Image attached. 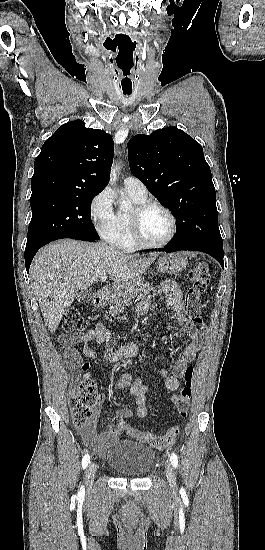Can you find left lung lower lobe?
I'll use <instances>...</instances> for the list:
<instances>
[{
	"instance_id": "1",
	"label": "left lung lower lobe",
	"mask_w": 265,
	"mask_h": 550,
	"mask_svg": "<svg viewBox=\"0 0 265 550\" xmlns=\"http://www.w3.org/2000/svg\"><path fill=\"white\" fill-rule=\"evenodd\" d=\"M159 250H161L163 252H166V253H171V252H175V251H182V250L201 251V252L207 253V254L211 255L212 257H214L220 263V265L224 268L223 253H218V252L210 251V250H207V249L179 247V246H175L171 243L166 245L163 249H159Z\"/></svg>"
}]
</instances>
